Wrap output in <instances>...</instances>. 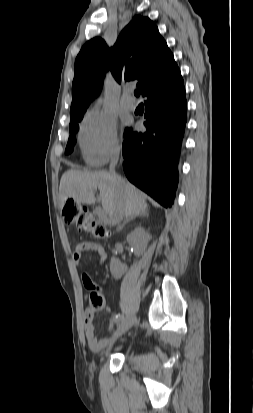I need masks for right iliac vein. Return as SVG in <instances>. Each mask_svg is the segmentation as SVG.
I'll use <instances>...</instances> for the list:
<instances>
[{
  "mask_svg": "<svg viewBox=\"0 0 253 413\" xmlns=\"http://www.w3.org/2000/svg\"><path fill=\"white\" fill-rule=\"evenodd\" d=\"M136 322V318L135 317H130L128 319H125L122 321V323L119 325V327L117 328V330L115 331L114 335H113V340L109 346V349H111L114 341L120 337L122 334H124L125 332H127Z\"/></svg>",
  "mask_w": 253,
  "mask_h": 413,
  "instance_id": "63e3f726",
  "label": "right iliac vein"
}]
</instances>
